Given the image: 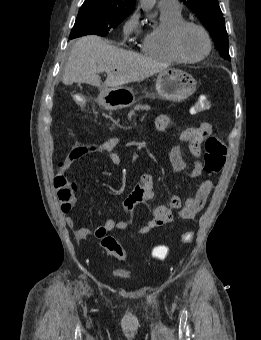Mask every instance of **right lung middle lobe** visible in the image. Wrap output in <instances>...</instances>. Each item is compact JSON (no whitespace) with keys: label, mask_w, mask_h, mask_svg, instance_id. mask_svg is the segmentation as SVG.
<instances>
[{"label":"right lung middle lobe","mask_w":261,"mask_h":340,"mask_svg":"<svg viewBox=\"0 0 261 340\" xmlns=\"http://www.w3.org/2000/svg\"><path fill=\"white\" fill-rule=\"evenodd\" d=\"M127 16L107 8L81 6L69 38L89 34L106 36L111 28H116Z\"/></svg>","instance_id":"obj_1"}]
</instances>
